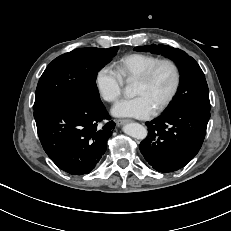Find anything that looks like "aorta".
I'll list each match as a JSON object with an SVG mask.
<instances>
[{
  "label": "aorta",
  "instance_id": "aorta-1",
  "mask_svg": "<svg viewBox=\"0 0 231 231\" xmlns=\"http://www.w3.org/2000/svg\"><path fill=\"white\" fill-rule=\"evenodd\" d=\"M125 94L128 96L132 95V85L128 84L125 88ZM125 134L139 140L146 138L148 132L147 129L139 123H129L123 127Z\"/></svg>",
  "mask_w": 231,
  "mask_h": 231
}]
</instances>
